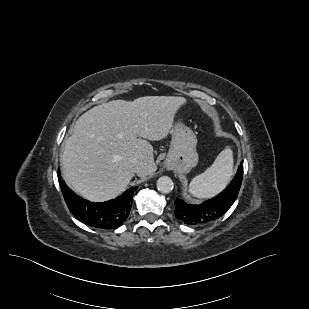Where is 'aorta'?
<instances>
[{
	"mask_svg": "<svg viewBox=\"0 0 309 309\" xmlns=\"http://www.w3.org/2000/svg\"><path fill=\"white\" fill-rule=\"evenodd\" d=\"M173 187V181L168 176H162L157 180V189L161 193H170Z\"/></svg>",
	"mask_w": 309,
	"mask_h": 309,
	"instance_id": "aorta-1",
	"label": "aorta"
}]
</instances>
